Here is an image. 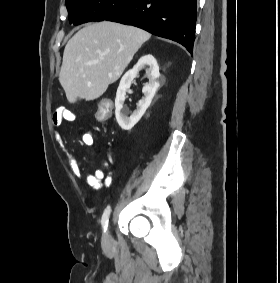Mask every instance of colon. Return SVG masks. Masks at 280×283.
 Segmentation results:
<instances>
[{
	"label": "colon",
	"instance_id": "1",
	"mask_svg": "<svg viewBox=\"0 0 280 283\" xmlns=\"http://www.w3.org/2000/svg\"><path fill=\"white\" fill-rule=\"evenodd\" d=\"M112 112H115V107H111V101L102 100L99 104V110L95 111V119L110 120Z\"/></svg>",
	"mask_w": 280,
	"mask_h": 283
}]
</instances>
